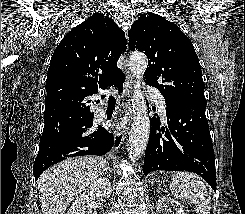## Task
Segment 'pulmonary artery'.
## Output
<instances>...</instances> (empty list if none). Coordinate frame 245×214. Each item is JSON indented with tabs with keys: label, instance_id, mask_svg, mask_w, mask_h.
<instances>
[{
	"label": "pulmonary artery",
	"instance_id": "pulmonary-artery-1",
	"mask_svg": "<svg viewBox=\"0 0 245 214\" xmlns=\"http://www.w3.org/2000/svg\"><path fill=\"white\" fill-rule=\"evenodd\" d=\"M146 91L154 99V101L157 104V106H158L159 111L161 112V114L163 116H165V114H166V111H165V101H164V97L162 96V94L160 92H158L157 90H155L150 85L146 86ZM100 111H101V109H98V112H100Z\"/></svg>",
	"mask_w": 245,
	"mask_h": 214
}]
</instances>
